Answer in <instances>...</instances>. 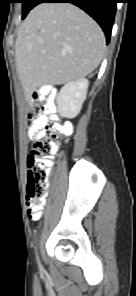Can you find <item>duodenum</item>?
<instances>
[{
    "instance_id": "obj_1",
    "label": "duodenum",
    "mask_w": 136,
    "mask_h": 296,
    "mask_svg": "<svg viewBox=\"0 0 136 296\" xmlns=\"http://www.w3.org/2000/svg\"><path fill=\"white\" fill-rule=\"evenodd\" d=\"M45 95V90L44 89H42V90H40L39 92H38V96H44Z\"/></svg>"
}]
</instances>
